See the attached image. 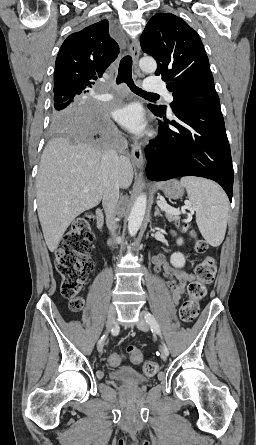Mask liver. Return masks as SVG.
Listing matches in <instances>:
<instances>
[{"mask_svg":"<svg viewBox=\"0 0 256 445\" xmlns=\"http://www.w3.org/2000/svg\"><path fill=\"white\" fill-rule=\"evenodd\" d=\"M103 149L87 140L76 144L63 137L50 140L41 156L36 179L38 216L45 242L57 248L77 216L97 206L103 196ZM133 180L130 160L119 157V186ZM88 192H83L84 189Z\"/></svg>","mask_w":256,"mask_h":445,"instance_id":"obj_1","label":"liver"}]
</instances>
